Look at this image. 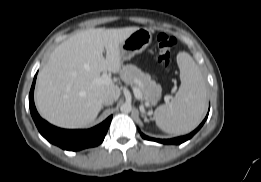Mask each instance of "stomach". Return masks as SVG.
Masks as SVG:
<instances>
[{"label":"stomach","instance_id":"obj_1","mask_svg":"<svg viewBox=\"0 0 261 182\" xmlns=\"http://www.w3.org/2000/svg\"><path fill=\"white\" fill-rule=\"evenodd\" d=\"M152 41V32L148 28H139L130 34L119 47L121 60H130L135 54L144 51Z\"/></svg>","mask_w":261,"mask_h":182}]
</instances>
